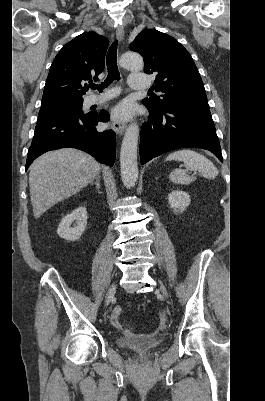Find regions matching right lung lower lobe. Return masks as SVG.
<instances>
[{
    "label": "right lung lower lobe",
    "mask_w": 265,
    "mask_h": 401,
    "mask_svg": "<svg viewBox=\"0 0 265 401\" xmlns=\"http://www.w3.org/2000/svg\"><path fill=\"white\" fill-rule=\"evenodd\" d=\"M109 114L91 112L82 115H48L38 119L32 144L28 150L26 170L43 153L76 148L92 155L101 163L113 166L116 137L112 130L98 131L99 121L107 122Z\"/></svg>",
    "instance_id": "obj_1"
}]
</instances>
